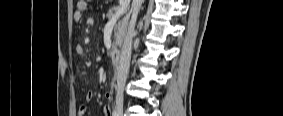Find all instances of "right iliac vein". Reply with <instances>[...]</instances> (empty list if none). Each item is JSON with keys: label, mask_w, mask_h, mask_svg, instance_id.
I'll return each mask as SVG.
<instances>
[{"label": "right iliac vein", "mask_w": 283, "mask_h": 116, "mask_svg": "<svg viewBox=\"0 0 283 116\" xmlns=\"http://www.w3.org/2000/svg\"><path fill=\"white\" fill-rule=\"evenodd\" d=\"M117 112L119 116H123V108L121 106L117 108Z\"/></svg>", "instance_id": "1"}]
</instances>
